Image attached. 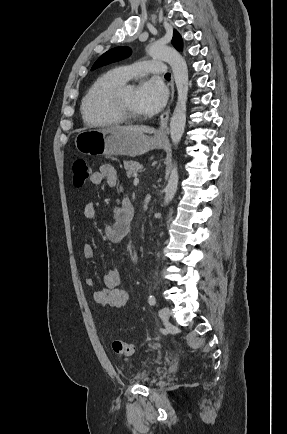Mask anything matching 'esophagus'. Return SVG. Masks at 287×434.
Segmentation results:
<instances>
[{"mask_svg": "<svg viewBox=\"0 0 287 434\" xmlns=\"http://www.w3.org/2000/svg\"><path fill=\"white\" fill-rule=\"evenodd\" d=\"M173 97H174V83L172 80V83H171V102L173 100ZM169 113H170V109L168 108L160 116L159 131L157 133L158 138H161L166 133Z\"/></svg>", "mask_w": 287, "mask_h": 434, "instance_id": "34e87169", "label": "esophagus"}]
</instances>
